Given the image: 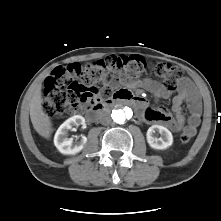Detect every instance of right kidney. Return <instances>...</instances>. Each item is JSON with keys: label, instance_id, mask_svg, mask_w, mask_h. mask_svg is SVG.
Returning a JSON list of instances; mask_svg holds the SVG:
<instances>
[{"label": "right kidney", "instance_id": "right-kidney-1", "mask_svg": "<svg viewBox=\"0 0 221 221\" xmlns=\"http://www.w3.org/2000/svg\"><path fill=\"white\" fill-rule=\"evenodd\" d=\"M85 124L84 117L80 115H75L67 119L64 123L60 125L55 136L54 145L62 154L75 155L79 153L87 142V138L82 136L81 140L73 144V138H68L67 134L73 126H79Z\"/></svg>", "mask_w": 221, "mask_h": 221}]
</instances>
